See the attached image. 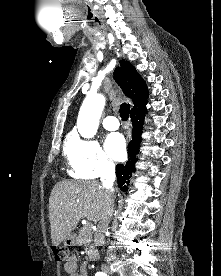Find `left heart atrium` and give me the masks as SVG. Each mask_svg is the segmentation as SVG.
I'll return each mask as SVG.
<instances>
[{"instance_id": "left-heart-atrium-1", "label": "left heart atrium", "mask_w": 221, "mask_h": 276, "mask_svg": "<svg viewBox=\"0 0 221 276\" xmlns=\"http://www.w3.org/2000/svg\"><path fill=\"white\" fill-rule=\"evenodd\" d=\"M105 147L108 154L115 160H122L126 155V143L124 137L119 133L107 136Z\"/></svg>"}]
</instances>
